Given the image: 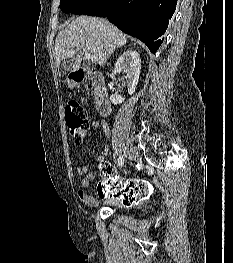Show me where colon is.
<instances>
[{
    "label": "colon",
    "mask_w": 233,
    "mask_h": 263,
    "mask_svg": "<svg viewBox=\"0 0 233 263\" xmlns=\"http://www.w3.org/2000/svg\"><path fill=\"white\" fill-rule=\"evenodd\" d=\"M65 120L70 135L80 143L88 132V119L85 109L76 102H70L65 108ZM101 183L95 187L96 195H109L110 199L123 202V208H144L145 201L153 199L151 191L154 182H145V178H127L126 186L117 187V176L114 171H99ZM143 199V200H142Z\"/></svg>",
    "instance_id": "1"
}]
</instances>
